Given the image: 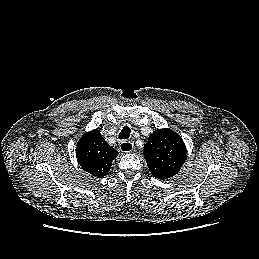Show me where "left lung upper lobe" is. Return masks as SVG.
Wrapping results in <instances>:
<instances>
[{
  "label": "left lung upper lobe",
  "mask_w": 259,
  "mask_h": 259,
  "mask_svg": "<svg viewBox=\"0 0 259 259\" xmlns=\"http://www.w3.org/2000/svg\"><path fill=\"white\" fill-rule=\"evenodd\" d=\"M144 156L150 172L164 180L179 172L186 159V147L174 131L158 129L149 136Z\"/></svg>",
  "instance_id": "1"
}]
</instances>
